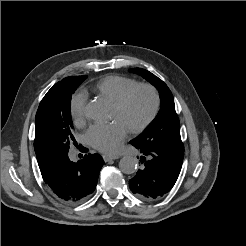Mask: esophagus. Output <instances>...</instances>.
I'll list each match as a JSON object with an SVG mask.
<instances>
[{"instance_id":"1","label":"esophagus","mask_w":246,"mask_h":246,"mask_svg":"<svg viewBox=\"0 0 246 246\" xmlns=\"http://www.w3.org/2000/svg\"><path fill=\"white\" fill-rule=\"evenodd\" d=\"M119 156L118 155H103V160L105 162H109L111 160H115V159H118Z\"/></svg>"}]
</instances>
